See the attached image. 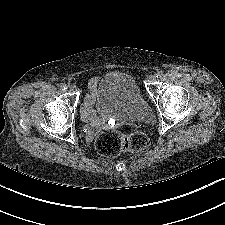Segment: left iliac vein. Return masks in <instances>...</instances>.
Masks as SVG:
<instances>
[{"instance_id":"4c4485c4","label":"left iliac vein","mask_w":225,"mask_h":225,"mask_svg":"<svg viewBox=\"0 0 225 225\" xmlns=\"http://www.w3.org/2000/svg\"><path fill=\"white\" fill-rule=\"evenodd\" d=\"M156 79H157V75L156 74H151L149 76V80L152 81V82L156 81Z\"/></svg>"}]
</instances>
